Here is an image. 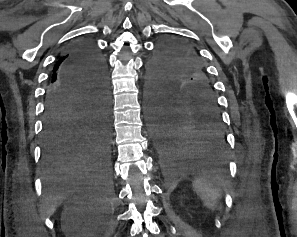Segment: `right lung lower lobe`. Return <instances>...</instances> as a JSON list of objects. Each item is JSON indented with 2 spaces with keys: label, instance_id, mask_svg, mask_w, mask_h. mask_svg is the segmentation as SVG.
<instances>
[{
  "label": "right lung lower lobe",
  "instance_id": "obj_1",
  "mask_svg": "<svg viewBox=\"0 0 297 237\" xmlns=\"http://www.w3.org/2000/svg\"><path fill=\"white\" fill-rule=\"evenodd\" d=\"M42 163L47 175L110 171V96L102 55L81 40L46 91Z\"/></svg>",
  "mask_w": 297,
  "mask_h": 237
}]
</instances>
